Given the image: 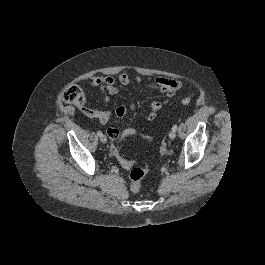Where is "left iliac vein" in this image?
I'll use <instances>...</instances> for the list:
<instances>
[{
	"label": "left iliac vein",
	"mask_w": 265,
	"mask_h": 265,
	"mask_svg": "<svg viewBox=\"0 0 265 265\" xmlns=\"http://www.w3.org/2000/svg\"><path fill=\"white\" fill-rule=\"evenodd\" d=\"M176 132L174 131V130H172V131H170V133H169V138L170 139H175L176 138Z\"/></svg>",
	"instance_id": "obj_1"
}]
</instances>
